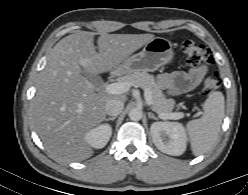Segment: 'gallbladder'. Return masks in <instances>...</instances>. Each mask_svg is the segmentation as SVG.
Instances as JSON below:
<instances>
[{"label": "gallbladder", "instance_id": "gallbladder-1", "mask_svg": "<svg viewBox=\"0 0 248 195\" xmlns=\"http://www.w3.org/2000/svg\"><path fill=\"white\" fill-rule=\"evenodd\" d=\"M82 74L95 86L100 87L102 85V78L99 75L90 74L82 69Z\"/></svg>", "mask_w": 248, "mask_h": 195}]
</instances>
